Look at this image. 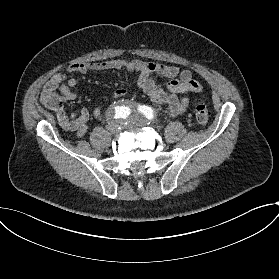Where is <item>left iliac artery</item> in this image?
<instances>
[{
    "label": "left iliac artery",
    "mask_w": 279,
    "mask_h": 279,
    "mask_svg": "<svg viewBox=\"0 0 279 279\" xmlns=\"http://www.w3.org/2000/svg\"><path fill=\"white\" fill-rule=\"evenodd\" d=\"M145 116L148 119H153L154 118V111L151 108L147 107L146 112H145Z\"/></svg>",
    "instance_id": "obj_1"
}]
</instances>
